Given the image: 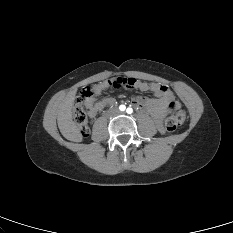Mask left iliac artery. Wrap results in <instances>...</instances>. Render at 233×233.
Returning a JSON list of instances; mask_svg holds the SVG:
<instances>
[{"mask_svg": "<svg viewBox=\"0 0 233 233\" xmlns=\"http://www.w3.org/2000/svg\"><path fill=\"white\" fill-rule=\"evenodd\" d=\"M126 112H127L128 114H131V113L133 112V109L129 107V108H127Z\"/></svg>", "mask_w": 233, "mask_h": 233, "instance_id": "obj_1", "label": "left iliac artery"}]
</instances>
